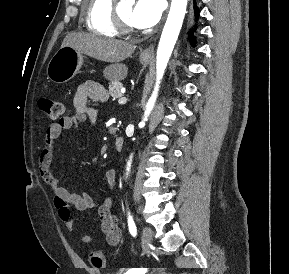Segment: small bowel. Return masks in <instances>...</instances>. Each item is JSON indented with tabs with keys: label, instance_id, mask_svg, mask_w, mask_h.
<instances>
[{
	"label": "small bowel",
	"instance_id": "obj_1",
	"mask_svg": "<svg viewBox=\"0 0 289 274\" xmlns=\"http://www.w3.org/2000/svg\"><path fill=\"white\" fill-rule=\"evenodd\" d=\"M105 98V89L99 83L86 81L79 85L73 99V115L64 116L57 122L51 123L47 128L39 159V171L44 182L54 192V207L68 231L72 232L75 228V220L71 214V207H74L78 211L97 208L101 220V229L105 234L106 241L109 245L116 246L121 239V230L112 210V198L107 197L99 203L85 191L81 193L70 192L61 186L60 180L53 169L58 138L65 131L71 129L76 122L89 121L90 123H95L97 110L92 106V103L104 100ZM105 180L108 188L112 189L116 181V171L112 168L108 169L105 172ZM92 240L93 236L90 234L79 238L81 243H90Z\"/></svg>",
	"mask_w": 289,
	"mask_h": 274
}]
</instances>
